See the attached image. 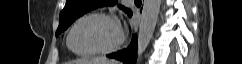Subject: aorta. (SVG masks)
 <instances>
[{
	"instance_id": "obj_1",
	"label": "aorta",
	"mask_w": 242,
	"mask_h": 64,
	"mask_svg": "<svg viewBox=\"0 0 242 64\" xmlns=\"http://www.w3.org/2000/svg\"><path fill=\"white\" fill-rule=\"evenodd\" d=\"M161 0H144L141 15V23L137 39V61L148 47L153 37L155 26L160 11Z\"/></svg>"
}]
</instances>
